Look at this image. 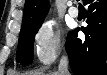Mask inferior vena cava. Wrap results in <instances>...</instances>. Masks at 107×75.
I'll list each match as a JSON object with an SVG mask.
<instances>
[{"label":"inferior vena cava","instance_id":"1","mask_svg":"<svg viewBox=\"0 0 107 75\" xmlns=\"http://www.w3.org/2000/svg\"><path fill=\"white\" fill-rule=\"evenodd\" d=\"M58 75H70L68 71V56L63 55L58 65Z\"/></svg>","mask_w":107,"mask_h":75}]
</instances>
